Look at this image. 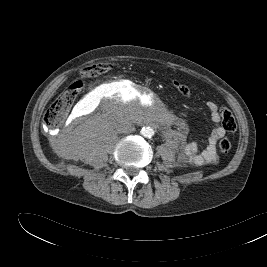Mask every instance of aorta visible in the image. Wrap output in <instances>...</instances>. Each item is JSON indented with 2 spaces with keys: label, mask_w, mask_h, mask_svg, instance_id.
Listing matches in <instances>:
<instances>
[{
  "label": "aorta",
  "mask_w": 267,
  "mask_h": 267,
  "mask_svg": "<svg viewBox=\"0 0 267 267\" xmlns=\"http://www.w3.org/2000/svg\"><path fill=\"white\" fill-rule=\"evenodd\" d=\"M141 134L146 138H151L154 135V130L151 127H143Z\"/></svg>",
  "instance_id": "obj_1"
}]
</instances>
